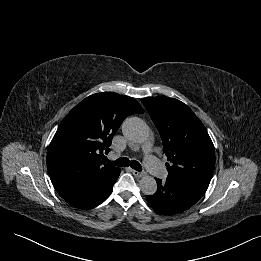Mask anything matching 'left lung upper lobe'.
<instances>
[{
    "instance_id": "left-lung-upper-lobe-1",
    "label": "left lung upper lobe",
    "mask_w": 261,
    "mask_h": 261,
    "mask_svg": "<svg viewBox=\"0 0 261 261\" xmlns=\"http://www.w3.org/2000/svg\"><path fill=\"white\" fill-rule=\"evenodd\" d=\"M163 141L169 163L167 180L207 190L215 167V150L202 122L183 102L169 97L141 99Z\"/></svg>"
}]
</instances>
